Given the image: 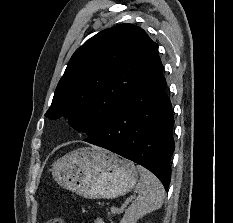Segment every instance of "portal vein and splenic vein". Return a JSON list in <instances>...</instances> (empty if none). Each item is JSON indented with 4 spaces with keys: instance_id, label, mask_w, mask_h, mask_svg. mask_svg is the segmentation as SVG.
I'll use <instances>...</instances> for the list:
<instances>
[{
    "instance_id": "1",
    "label": "portal vein and splenic vein",
    "mask_w": 233,
    "mask_h": 223,
    "mask_svg": "<svg viewBox=\"0 0 233 223\" xmlns=\"http://www.w3.org/2000/svg\"><path fill=\"white\" fill-rule=\"evenodd\" d=\"M124 207H126V205H123V207H120V209H118V213H120V211H123Z\"/></svg>"
}]
</instances>
